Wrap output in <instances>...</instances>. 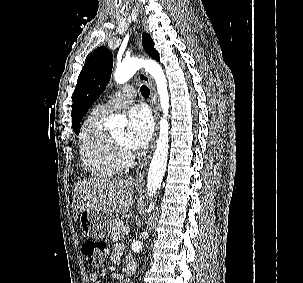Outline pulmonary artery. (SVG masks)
<instances>
[{
	"label": "pulmonary artery",
	"instance_id": "pulmonary-artery-1",
	"mask_svg": "<svg viewBox=\"0 0 303 283\" xmlns=\"http://www.w3.org/2000/svg\"><path fill=\"white\" fill-rule=\"evenodd\" d=\"M135 97V90L128 86L116 92L106 103L97 106V109L104 113H111L130 105Z\"/></svg>",
	"mask_w": 303,
	"mask_h": 283
}]
</instances>
